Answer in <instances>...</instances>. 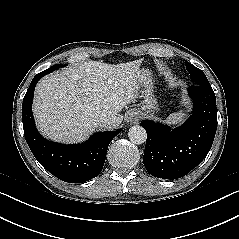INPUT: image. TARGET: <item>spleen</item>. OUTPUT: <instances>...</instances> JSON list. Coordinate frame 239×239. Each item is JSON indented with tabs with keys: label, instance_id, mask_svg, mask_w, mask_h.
Listing matches in <instances>:
<instances>
[{
	"label": "spleen",
	"instance_id": "spleen-1",
	"mask_svg": "<svg viewBox=\"0 0 239 239\" xmlns=\"http://www.w3.org/2000/svg\"><path fill=\"white\" fill-rule=\"evenodd\" d=\"M184 113L182 111L178 113L171 114L166 122L169 124H176L177 122H181L183 120Z\"/></svg>",
	"mask_w": 239,
	"mask_h": 239
}]
</instances>
